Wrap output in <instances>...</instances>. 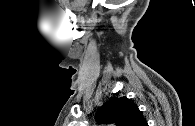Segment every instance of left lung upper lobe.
I'll use <instances>...</instances> for the list:
<instances>
[{
    "label": "left lung upper lobe",
    "instance_id": "left-lung-upper-lobe-1",
    "mask_svg": "<svg viewBox=\"0 0 195 126\" xmlns=\"http://www.w3.org/2000/svg\"><path fill=\"white\" fill-rule=\"evenodd\" d=\"M95 118L98 123H113L117 126H142L146 122L136 104L126 97H114L106 102Z\"/></svg>",
    "mask_w": 195,
    "mask_h": 126
}]
</instances>
